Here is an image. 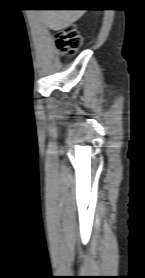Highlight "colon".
Returning a JSON list of instances; mask_svg holds the SVG:
<instances>
[{"label":"colon","instance_id":"5ec220e1","mask_svg":"<svg viewBox=\"0 0 145 278\" xmlns=\"http://www.w3.org/2000/svg\"><path fill=\"white\" fill-rule=\"evenodd\" d=\"M81 39L73 26H68L56 35V44L63 56L70 58L78 49Z\"/></svg>","mask_w":145,"mask_h":278}]
</instances>
